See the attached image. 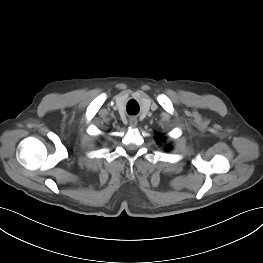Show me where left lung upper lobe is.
Segmentation results:
<instances>
[{
    "mask_svg": "<svg viewBox=\"0 0 263 263\" xmlns=\"http://www.w3.org/2000/svg\"><path fill=\"white\" fill-rule=\"evenodd\" d=\"M157 140H158V142L161 144V143L164 141L163 135H162V134H158V135H157ZM170 148H171V147H170V145H169V146H167L166 149H170Z\"/></svg>",
    "mask_w": 263,
    "mask_h": 263,
    "instance_id": "5c2ea615",
    "label": "left lung upper lobe"
}]
</instances>
